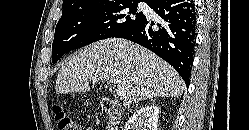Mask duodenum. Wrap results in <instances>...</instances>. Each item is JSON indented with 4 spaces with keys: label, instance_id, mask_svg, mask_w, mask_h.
<instances>
[{
    "label": "duodenum",
    "instance_id": "obj_1",
    "mask_svg": "<svg viewBox=\"0 0 249 130\" xmlns=\"http://www.w3.org/2000/svg\"><path fill=\"white\" fill-rule=\"evenodd\" d=\"M102 110L107 115V123L105 130H118V126L122 116L121 107L114 101L103 98L100 101Z\"/></svg>",
    "mask_w": 249,
    "mask_h": 130
}]
</instances>
